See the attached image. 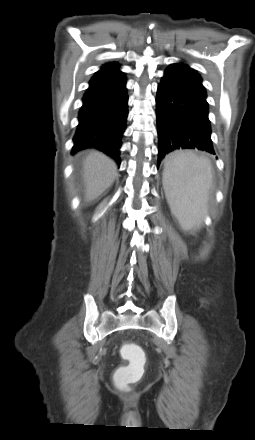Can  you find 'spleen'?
<instances>
[{
  "instance_id": "1",
  "label": "spleen",
  "mask_w": 255,
  "mask_h": 440,
  "mask_svg": "<svg viewBox=\"0 0 255 440\" xmlns=\"http://www.w3.org/2000/svg\"><path fill=\"white\" fill-rule=\"evenodd\" d=\"M211 185L209 159L191 151H176L166 158L163 186L170 209L183 229L201 225Z\"/></svg>"
}]
</instances>
